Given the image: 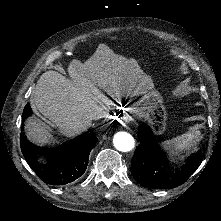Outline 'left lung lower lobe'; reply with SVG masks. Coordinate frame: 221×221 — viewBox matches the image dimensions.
I'll use <instances>...</instances> for the list:
<instances>
[{
  "instance_id": "1",
  "label": "left lung lower lobe",
  "mask_w": 221,
  "mask_h": 221,
  "mask_svg": "<svg viewBox=\"0 0 221 221\" xmlns=\"http://www.w3.org/2000/svg\"><path fill=\"white\" fill-rule=\"evenodd\" d=\"M138 139L141 142L131 160V173L145 188L170 189L183 184L200 166V151L191 154L186 163L173 170L168 166V158L156 142L151 129L144 124L139 126Z\"/></svg>"
}]
</instances>
